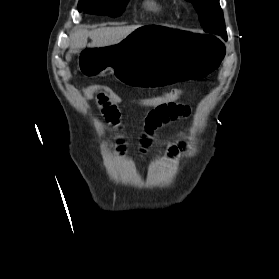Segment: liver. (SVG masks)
<instances>
[{"instance_id":"6515ba94","label":"liver","mask_w":279,"mask_h":279,"mask_svg":"<svg viewBox=\"0 0 279 279\" xmlns=\"http://www.w3.org/2000/svg\"><path fill=\"white\" fill-rule=\"evenodd\" d=\"M140 27V25L105 27L94 31L78 29L70 35L71 44L69 53H78L80 49L85 48L87 46L88 37L92 40V42L88 45L90 48L111 46L118 43L128 34Z\"/></svg>"}]
</instances>
